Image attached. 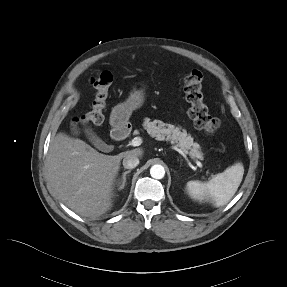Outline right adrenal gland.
Returning <instances> with one entry per match:
<instances>
[{"label":"right adrenal gland","mask_w":287,"mask_h":287,"mask_svg":"<svg viewBox=\"0 0 287 287\" xmlns=\"http://www.w3.org/2000/svg\"><path fill=\"white\" fill-rule=\"evenodd\" d=\"M131 170L125 171L122 175V184L120 185L119 189H123L126 183V175L129 174Z\"/></svg>","instance_id":"2a0ac1e0"}]
</instances>
